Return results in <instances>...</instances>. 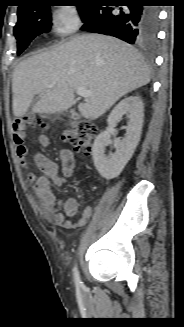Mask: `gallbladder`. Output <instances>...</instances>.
I'll use <instances>...</instances> for the list:
<instances>
[{
    "mask_svg": "<svg viewBox=\"0 0 184 327\" xmlns=\"http://www.w3.org/2000/svg\"><path fill=\"white\" fill-rule=\"evenodd\" d=\"M72 118H78L77 114H72Z\"/></svg>",
    "mask_w": 184,
    "mask_h": 327,
    "instance_id": "1",
    "label": "gallbladder"
}]
</instances>
